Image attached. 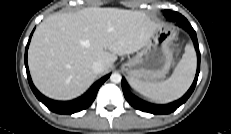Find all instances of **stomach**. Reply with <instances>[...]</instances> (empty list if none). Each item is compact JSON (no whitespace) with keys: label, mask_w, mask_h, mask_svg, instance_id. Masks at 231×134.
<instances>
[{"label":"stomach","mask_w":231,"mask_h":134,"mask_svg":"<svg viewBox=\"0 0 231 134\" xmlns=\"http://www.w3.org/2000/svg\"><path fill=\"white\" fill-rule=\"evenodd\" d=\"M175 38L176 32L172 27L160 25L141 50L123 64V70L130 79L141 82L150 83L163 78L173 62L171 44Z\"/></svg>","instance_id":"obj_1"}]
</instances>
